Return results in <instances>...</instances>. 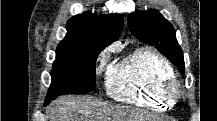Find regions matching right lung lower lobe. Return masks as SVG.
Listing matches in <instances>:
<instances>
[{"label":"right lung lower lobe","mask_w":217,"mask_h":121,"mask_svg":"<svg viewBox=\"0 0 217 121\" xmlns=\"http://www.w3.org/2000/svg\"><path fill=\"white\" fill-rule=\"evenodd\" d=\"M49 103H50L49 101H45L44 105H47V104H49Z\"/></svg>","instance_id":"obj_1"}]
</instances>
